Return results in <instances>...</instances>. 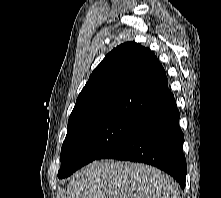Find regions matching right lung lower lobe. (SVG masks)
<instances>
[{
    "label": "right lung lower lobe",
    "mask_w": 221,
    "mask_h": 198,
    "mask_svg": "<svg viewBox=\"0 0 221 198\" xmlns=\"http://www.w3.org/2000/svg\"><path fill=\"white\" fill-rule=\"evenodd\" d=\"M179 118L180 113L172 96L98 159L142 162L155 166L175 178L184 189L187 167Z\"/></svg>",
    "instance_id": "obj_1"
}]
</instances>
